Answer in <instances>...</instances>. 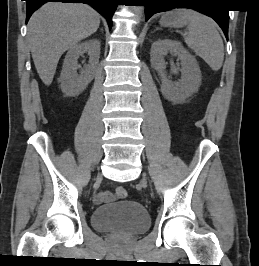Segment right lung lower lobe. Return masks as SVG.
I'll list each match as a JSON object with an SVG mask.
<instances>
[{
	"label": "right lung lower lobe",
	"mask_w": 259,
	"mask_h": 266,
	"mask_svg": "<svg viewBox=\"0 0 259 266\" xmlns=\"http://www.w3.org/2000/svg\"><path fill=\"white\" fill-rule=\"evenodd\" d=\"M27 1L26 23L35 10L46 2L84 3L89 4L102 14L112 27V16L118 5V0H25Z\"/></svg>",
	"instance_id": "98d812e1"
}]
</instances>
